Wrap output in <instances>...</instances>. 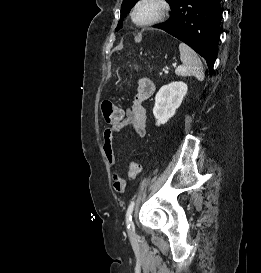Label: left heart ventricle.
Instances as JSON below:
<instances>
[{"label": "left heart ventricle", "mask_w": 261, "mask_h": 273, "mask_svg": "<svg viewBox=\"0 0 261 273\" xmlns=\"http://www.w3.org/2000/svg\"><path fill=\"white\" fill-rule=\"evenodd\" d=\"M153 10L154 9L152 7H144L138 12L137 18L139 20H145L150 17V15L153 13Z\"/></svg>", "instance_id": "1"}]
</instances>
